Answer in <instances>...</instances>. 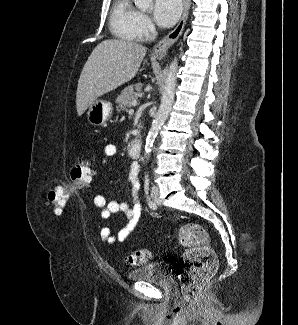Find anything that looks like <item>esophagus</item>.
I'll return each instance as SVG.
<instances>
[{
    "instance_id": "esophagus-1",
    "label": "esophagus",
    "mask_w": 298,
    "mask_h": 325,
    "mask_svg": "<svg viewBox=\"0 0 298 325\" xmlns=\"http://www.w3.org/2000/svg\"><path fill=\"white\" fill-rule=\"evenodd\" d=\"M190 8V0H184V9L181 18L170 33H168L155 47L153 48V55L157 58H162L167 55L168 49L176 42L183 32L186 24Z\"/></svg>"
}]
</instances>
